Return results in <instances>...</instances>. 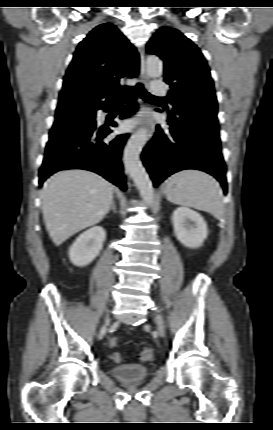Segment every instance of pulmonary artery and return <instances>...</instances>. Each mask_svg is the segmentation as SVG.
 Wrapping results in <instances>:
<instances>
[{
  "label": "pulmonary artery",
  "mask_w": 273,
  "mask_h": 430,
  "mask_svg": "<svg viewBox=\"0 0 273 430\" xmlns=\"http://www.w3.org/2000/svg\"><path fill=\"white\" fill-rule=\"evenodd\" d=\"M154 94L157 96H166L168 94V89L164 83L161 81H156L154 83Z\"/></svg>",
  "instance_id": "obj_1"
}]
</instances>
